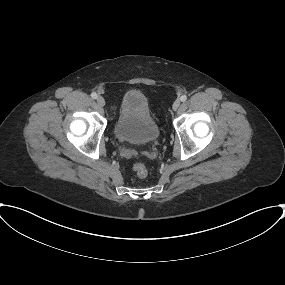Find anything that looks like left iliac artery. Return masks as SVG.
<instances>
[{
  "label": "left iliac artery",
  "mask_w": 285,
  "mask_h": 285,
  "mask_svg": "<svg viewBox=\"0 0 285 285\" xmlns=\"http://www.w3.org/2000/svg\"><path fill=\"white\" fill-rule=\"evenodd\" d=\"M180 100H181L182 102L186 101V100H187V96H186V95H182V96L180 97Z\"/></svg>",
  "instance_id": "44dca946"
}]
</instances>
